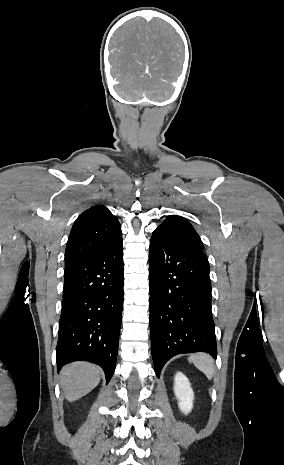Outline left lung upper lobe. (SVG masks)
Instances as JSON below:
<instances>
[{
	"label": "left lung upper lobe",
	"instance_id": "1",
	"mask_svg": "<svg viewBox=\"0 0 284 465\" xmlns=\"http://www.w3.org/2000/svg\"><path fill=\"white\" fill-rule=\"evenodd\" d=\"M155 231L163 232L187 245L203 249L202 241L193 226L183 217L169 215Z\"/></svg>",
	"mask_w": 284,
	"mask_h": 465
}]
</instances>
